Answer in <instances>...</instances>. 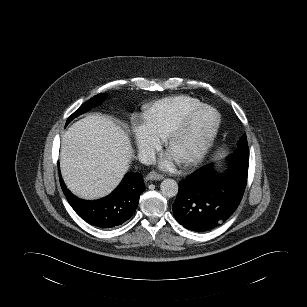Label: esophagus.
<instances>
[{
	"label": "esophagus",
	"mask_w": 307,
	"mask_h": 307,
	"mask_svg": "<svg viewBox=\"0 0 307 307\" xmlns=\"http://www.w3.org/2000/svg\"><path fill=\"white\" fill-rule=\"evenodd\" d=\"M164 177L161 174H158L157 172H150L147 176H146V180L147 181H151V180H162Z\"/></svg>",
	"instance_id": "obj_1"
}]
</instances>
